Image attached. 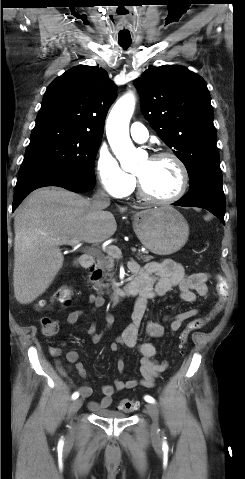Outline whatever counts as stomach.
<instances>
[{
    "label": "stomach",
    "mask_w": 245,
    "mask_h": 479,
    "mask_svg": "<svg viewBox=\"0 0 245 479\" xmlns=\"http://www.w3.org/2000/svg\"><path fill=\"white\" fill-rule=\"evenodd\" d=\"M133 228L140 242L151 252L168 255L180 250L188 240L185 218L169 206L147 208L135 213Z\"/></svg>",
    "instance_id": "obj_1"
}]
</instances>
